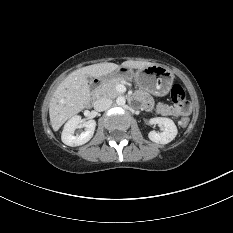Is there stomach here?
I'll use <instances>...</instances> for the list:
<instances>
[{"label":"stomach","mask_w":233,"mask_h":233,"mask_svg":"<svg viewBox=\"0 0 233 233\" xmlns=\"http://www.w3.org/2000/svg\"><path fill=\"white\" fill-rule=\"evenodd\" d=\"M133 77L140 88L155 96L168 94L174 80V74L171 70L157 64L138 69L135 73L130 68L120 67L101 77V80L108 81L113 78L129 80Z\"/></svg>","instance_id":"obj_1"}]
</instances>
